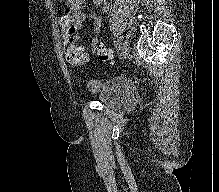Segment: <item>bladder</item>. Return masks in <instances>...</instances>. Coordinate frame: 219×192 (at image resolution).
<instances>
[{"label":"bladder","instance_id":"bladder-1","mask_svg":"<svg viewBox=\"0 0 219 192\" xmlns=\"http://www.w3.org/2000/svg\"><path fill=\"white\" fill-rule=\"evenodd\" d=\"M98 101L109 110H123L136 98V86L129 80H111L99 85Z\"/></svg>","mask_w":219,"mask_h":192}]
</instances>
